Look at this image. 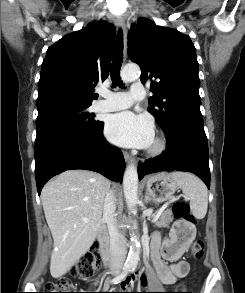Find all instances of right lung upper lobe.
<instances>
[{
	"mask_svg": "<svg viewBox=\"0 0 245 293\" xmlns=\"http://www.w3.org/2000/svg\"><path fill=\"white\" fill-rule=\"evenodd\" d=\"M115 43L114 26L90 23L48 48L43 60L37 108L51 104L91 105L93 88L109 75Z\"/></svg>",
	"mask_w": 245,
	"mask_h": 293,
	"instance_id": "1",
	"label": "right lung upper lobe"
}]
</instances>
